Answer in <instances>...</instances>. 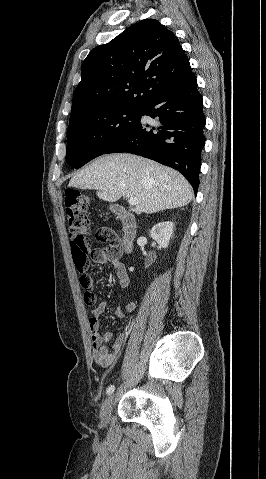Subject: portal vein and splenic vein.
<instances>
[{
	"label": "portal vein and splenic vein",
	"mask_w": 266,
	"mask_h": 479,
	"mask_svg": "<svg viewBox=\"0 0 266 479\" xmlns=\"http://www.w3.org/2000/svg\"><path fill=\"white\" fill-rule=\"evenodd\" d=\"M128 203H129V205H131V206H136V205L138 204V198H136V197H130V198L128 199Z\"/></svg>",
	"instance_id": "portal-vein-and-splenic-vein-1"
}]
</instances>
